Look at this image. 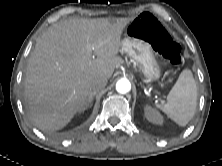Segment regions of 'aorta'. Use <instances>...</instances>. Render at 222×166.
Returning <instances> with one entry per match:
<instances>
[{
  "label": "aorta",
  "instance_id": "aorta-1",
  "mask_svg": "<svg viewBox=\"0 0 222 166\" xmlns=\"http://www.w3.org/2000/svg\"><path fill=\"white\" fill-rule=\"evenodd\" d=\"M116 90L120 94H126L131 90V83L127 79H120L116 83Z\"/></svg>",
  "mask_w": 222,
  "mask_h": 166
}]
</instances>
